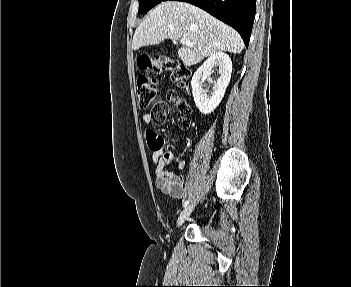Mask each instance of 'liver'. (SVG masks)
<instances>
[{
  "label": "liver",
  "instance_id": "6515ba94",
  "mask_svg": "<svg viewBox=\"0 0 351 287\" xmlns=\"http://www.w3.org/2000/svg\"><path fill=\"white\" fill-rule=\"evenodd\" d=\"M185 38L193 47L183 45L178 57L185 66L199 63L216 52L240 54L244 43L237 31L204 10L179 1L157 5L135 30L132 48L156 45L165 39Z\"/></svg>",
  "mask_w": 351,
  "mask_h": 287
}]
</instances>
